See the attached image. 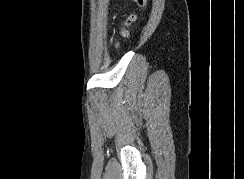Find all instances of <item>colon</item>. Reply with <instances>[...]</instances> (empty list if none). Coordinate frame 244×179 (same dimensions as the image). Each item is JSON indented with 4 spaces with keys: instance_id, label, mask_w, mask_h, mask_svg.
<instances>
[{
    "instance_id": "5ec220e1",
    "label": "colon",
    "mask_w": 244,
    "mask_h": 179,
    "mask_svg": "<svg viewBox=\"0 0 244 179\" xmlns=\"http://www.w3.org/2000/svg\"><path fill=\"white\" fill-rule=\"evenodd\" d=\"M151 2V0H144V2H142L139 6L141 7V8H143L144 10H148V6H147V4L146 3H150ZM134 20V16L133 15H129V16H127L126 17V19H125V21H124V27H123V31H125L126 30V26L127 25H129L130 23H131V21H133ZM125 32H123V34H124ZM111 42L116 46V45H118V41L115 39V38H111Z\"/></svg>"
}]
</instances>
